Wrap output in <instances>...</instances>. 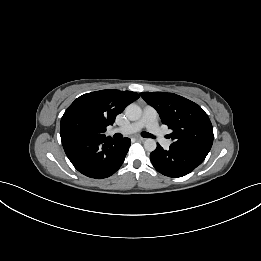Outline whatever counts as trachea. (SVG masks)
<instances>
[{"label":"trachea","mask_w":261,"mask_h":261,"mask_svg":"<svg viewBox=\"0 0 261 261\" xmlns=\"http://www.w3.org/2000/svg\"><path fill=\"white\" fill-rule=\"evenodd\" d=\"M142 137H144V138H153V135L150 134V133H147V132H143L142 133Z\"/></svg>","instance_id":"3493384b"}]
</instances>
